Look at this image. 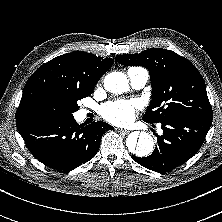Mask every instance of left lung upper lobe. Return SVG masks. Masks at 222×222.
<instances>
[{"label": "left lung upper lobe", "mask_w": 222, "mask_h": 222, "mask_svg": "<svg viewBox=\"0 0 222 222\" xmlns=\"http://www.w3.org/2000/svg\"><path fill=\"white\" fill-rule=\"evenodd\" d=\"M116 60L149 70L152 100L143 116L145 122L158 123L180 114L212 116L203 77L186 58L171 50L151 48L139 54L118 55Z\"/></svg>", "instance_id": "5c2ea615"}]
</instances>
